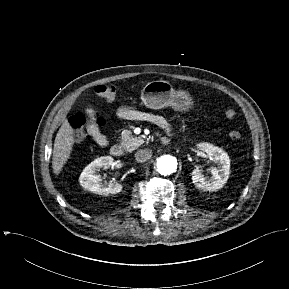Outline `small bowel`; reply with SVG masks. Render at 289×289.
<instances>
[{
	"mask_svg": "<svg viewBox=\"0 0 289 289\" xmlns=\"http://www.w3.org/2000/svg\"><path fill=\"white\" fill-rule=\"evenodd\" d=\"M87 116L91 121L87 127L88 134L93 138V140L100 146H106L108 144L107 137L101 132L100 128L94 124L92 121L95 118V111L93 108H88L86 110ZM117 115L121 119L126 120H147L163 129L169 130V124L162 116L149 114L142 112L131 106H122L117 110Z\"/></svg>",
	"mask_w": 289,
	"mask_h": 289,
	"instance_id": "small-bowel-1",
	"label": "small bowel"
}]
</instances>
